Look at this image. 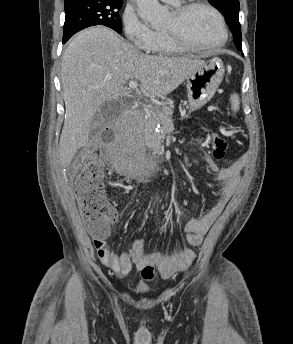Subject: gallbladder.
Returning <instances> with one entry per match:
<instances>
[{
  "label": "gallbladder",
  "instance_id": "bac80fb5",
  "mask_svg": "<svg viewBox=\"0 0 293 344\" xmlns=\"http://www.w3.org/2000/svg\"><path fill=\"white\" fill-rule=\"evenodd\" d=\"M121 112L120 104L117 100L105 102L93 119V124L98 126L104 125L106 122L115 119Z\"/></svg>",
  "mask_w": 293,
  "mask_h": 344
}]
</instances>
